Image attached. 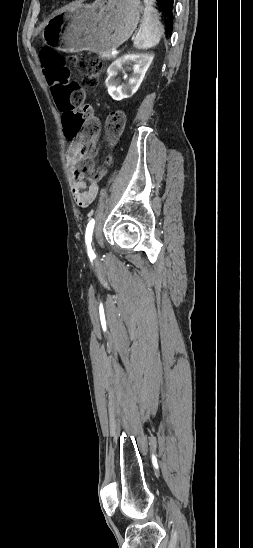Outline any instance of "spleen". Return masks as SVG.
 <instances>
[{
    "instance_id": "3e777b00",
    "label": "spleen",
    "mask_w": 253,
    "mask_h": 548,
    "mask_svg": "<svg viewBox=\"0 0 253 548\" xmlns=\"http://www.w3.org/2000/svg\"><path fill=\"white\" fill-rule=\"evenodd\" d=\"M154 0H144L145 9L141 27L134 39V47L137 49H149L155 47L164 33V28L159 21V13L152 6Z\"/></svg>"
}]
</instances>
